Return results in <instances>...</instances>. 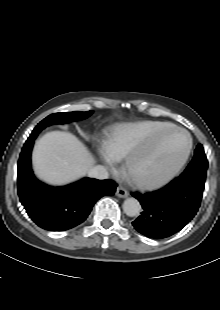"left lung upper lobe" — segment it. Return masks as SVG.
Returning <instances> with one entry per match:
<instances>
[{
    "instance_id": "left-lung-upper-lobe-1",
    "label": "left lung upper lobe",
    "mask_w": 220,
    "mask_h": 310,
    "mask_svg": "<svg viewBox=\"0 0 220 310\" xmlns=\"http://www.w3.org/2000/svg\"><path fill=\"white\" fill-rule=\"evenodd\" d=\"M208 161L204 153L203 146L198 144L194 152V157L185 171L180 175L183 178H206Z\"/></svg>"
}]
</instances>
